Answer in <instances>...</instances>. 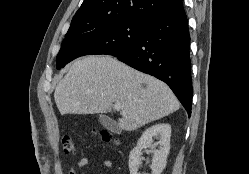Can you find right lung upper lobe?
<instances>
[{
  "label": "right lung upper lobe",
  "instance_id": "1",
  "mask_svg": "<svg viewBox=\"0 0 249 174\" xmlns=\"http://www.w3.org/2000/svg\"><path fill=\"white\" fill-rule=\"evenodd\" d=\"M182 10V0H84L68 31L121 19L146 21L155 16Z\"/></svg>",
  "mask_w": 249,
  "mask_h": 174
}]
</instances>
